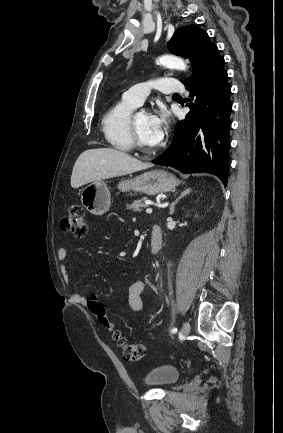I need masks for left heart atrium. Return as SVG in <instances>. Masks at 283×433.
Instances as JSON below:
<instances>
[{"label":"left heart atrium","mask_w":283,"mask_h":433,"mask_svg":"<svg viewBox=\"0 0 283 433\" xmlns=\"http://www.w3.org/2000/svg\"><path fill=\"white\" fill-rule=\"evenodd\" d=\"M168 127L167 119L162 114L149 115L144 141L150 150H156L164 139Z\"/></svg>","instance_id":"1"}]
</instances>
